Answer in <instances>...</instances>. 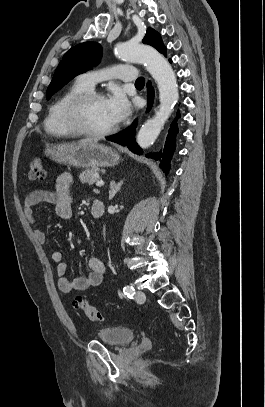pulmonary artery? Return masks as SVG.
Returning <instances> with one entry per match:
<instances>
[{
    "label": "pulmonary artery",
    "mask_w": 265,
    "mask_h": 407,
    "mask_svg": "<svg viewBox=\"0 0 265 407\" xmlns=\"http://www.w3.org/2000/svg\"><path fill=\"white\" fill-rule=\"evenodd\" d=\"M137 77L136 69L131 65H117L104 70L89 71L80 74L77 82L91 89L94 85L106 78L119 79L124 82L134 81Z\"/></svg>",
    "instance_id": "e3ab8cb5"
}]
</instances>
